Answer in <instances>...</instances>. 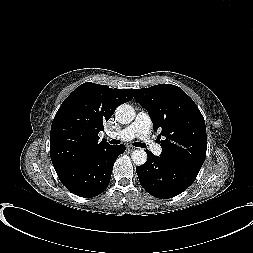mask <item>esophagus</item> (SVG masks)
<instances>
[{
	"instance_id": "obj_1",
	"label": "esophagus",
	"mask_w": 253,
	"mask_h": 253,
	"mask_svg": "<svg viewBox=\"0 0 253 253\" xmlns=\"http://www.w3.org/2000/svg\"><path fill=\"white\" fill-rule=\"evenodd\" d=\"M127 149H128L129 151H133V150H135L136 148H135L134 146L128 145V146H127Z\"/></svg>"
}]
</instances>
